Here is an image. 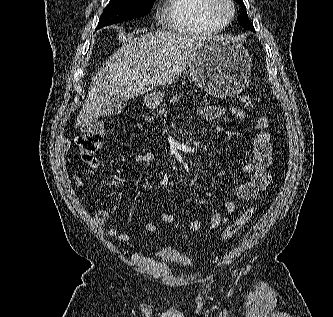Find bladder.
Here are the masks:
<instances>
[{
  "mask_svg": "<svg viewBox=\"0 0 333 317\" xmlns=\"http://www.w3.org/2000/svg\"><path fill=\"white\" fill-rule=\"evenodd\" d=\"M154 256L162 262L175 263L187 268L194 265V261L190 256L172 248H162L157 250Z\"/></svg>",
  "mask_w": 333,
  "mask_h": 317,
  "instance_id": "1",
  "label": "bladder"
}]
</instances>
